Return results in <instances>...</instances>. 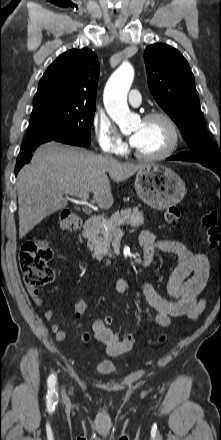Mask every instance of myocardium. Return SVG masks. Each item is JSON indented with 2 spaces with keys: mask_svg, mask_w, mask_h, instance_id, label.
Here are the masks:
<instances>
[{
  "mask_svg": "<svg viewBox=\"0 0 221 440\" xmlns=\"http://www.w3.org/2000/svg\"><path fill=\"white\" fill-rule=\"evenodd\" d=\"M153 119H161L166 123L170 131V141L168 146L163 151L156 154H145L135 148V156L139 159L146 161H160L170 157L178 148L180 141V133L178 127L169 114L163 111H152L144 116L143 121H149Z\"/></svg>",
  "mask_w": 221,
  "mask_h": 440,
  "instance_id": "myocardium-1",
  "label": "myocardium"
}]
</instances>
